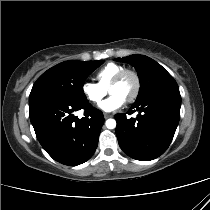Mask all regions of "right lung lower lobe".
I'll return each instance as SVG.
<instances>
[{"label":"right lung lower lobe","mask_w":210,"mask_h":210,"mask_svg":"<svg viewBox=\"0 0 210 210\" xmlns=\"http://www.w3.org/2000/svg\"><path fill=\"white\" fill-rule=\"evenodd\" d=\"M80 109L81 119L72 114ZM29 110L37 139L54 160L76 166L94 154L104 116L88 100L44 98L29 103Z\"/></svg>","instance_id":"obj_1"}]
</instances>
